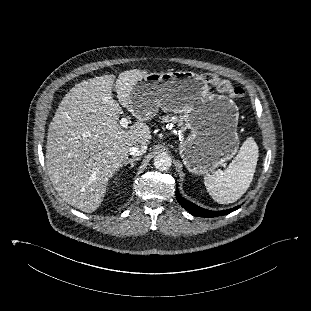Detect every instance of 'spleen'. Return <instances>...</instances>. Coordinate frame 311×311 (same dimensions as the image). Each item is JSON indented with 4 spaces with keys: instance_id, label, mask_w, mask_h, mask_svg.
<instances>
[{
    "instance_id": "obj_1",
    "label": "spleen",
    "mask_w": 311,
    "mask_h": 311,
    "mask_svg": "<svg viewBox=\"0 0 311 311\" xmlns=\"http://www.w3.org/2000/svg\"><path fill=\"white\" fill-rule=\"evenodd\" d=\"M258 156L255 140L247 138L223 172L205 175L204 184L210 196L220 204L233 203L241 198L253 180Z\"/></svg>"
}]
</instances>
